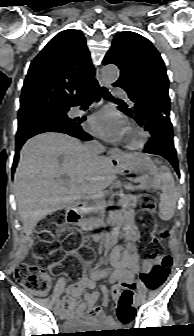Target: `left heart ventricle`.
I'll list each match as a JSON object with an SVG mask.
<instances>
[{
	"mask_svg": "<svg viewBox=\"0 0 194 336\" xmlns=\"http://www.w3.org/2000/svg\"><path fill=\"white\" fill-rule=\"evenodd\" d=\"M125 137H129L130 138V137H132V134L130 132L126 131Z\"/></svg>",
	"mask_w": 194,
	"mask_h": 336,
	"instance_id": "b2bd125f",
	"label": "left heart ventricle"
}]
</instances>
